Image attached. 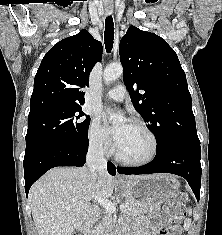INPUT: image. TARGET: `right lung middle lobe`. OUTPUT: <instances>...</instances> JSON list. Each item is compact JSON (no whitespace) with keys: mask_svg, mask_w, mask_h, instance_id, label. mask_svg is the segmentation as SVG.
Masks as SVG:
<instances>
[{"mask_svg":"<svg viewBox=\"0 0 222 235\" xmlns=\"http://www.w3.org/2000/svg\"><path fill=\"white\" fill-rule=\"evenodd\" d=\"M80 105L53 106L28 116L25 155L49 145L87 146L90 117Z\"/></svg>","mask_w":222,"mask_h":235,"instance_id":"obj_1","label":"right lung middle lobe"}]
</instances>
